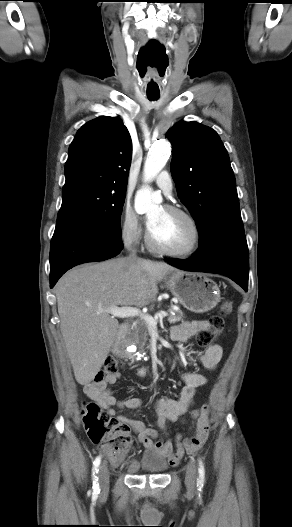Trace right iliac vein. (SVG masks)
Returning <instances> with one entry per match:
<instances>
[{
	"label": "right iliac vein",
	"mask_w": 292,
	"mask_h": 527,
	"mask_svg": "<svg viewBox=\"0 0 292 527\" xmlns=\"http://www.w3.org/2000/svg\"><path fill=\"white\" fill-rule=\"evenodd\" d=\"M98 477H99V483H100L101 490L103 492L107 491L108 486H109V472L105 464H102L99 467Z\"/></svg>",
	"instance_id": "right-iliac-vein-1"
}]
</instances>
